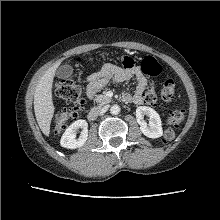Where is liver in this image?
Masks as SVG:
<instances>
[{
    "label": "liver",
    "instance_id": "liver-1",
    "mask_svg": "<svg viewBox=\"0 0 220 220\" xmlns=\"http://www.w3.org/2000/svg\"><path fill=\"white\" fill-rule=\"evenodd\" d=\"M60 62L50 67L40 78L34 92V112L37 123L44 135L49 136L50 125L54 115L52 98L53 80Z\"/></svg>",
    "mask_w": 220,
    "mask_h": 220
}]
</instances>
